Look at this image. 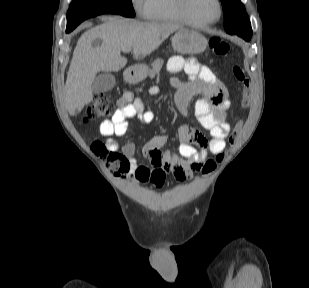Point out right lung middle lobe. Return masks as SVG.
I'll list each match as a JSON object with an SVG mask.
<instances>
[{"instance_id": "1", "label": "right lung middle lobe", "mask_w": 309, "mask_h": 288, "mask_svg": "<svg viewBox=\"0 0 309 288\" xmlns=\"http://www.w3.org/2000/svg\"><path fill=\"white\" fill-rule=\"evenodd\" d=\"M105 13L135 16L131 0H72L66 31L71 32L85 19Z\"/></svg>"}]
</instances>
